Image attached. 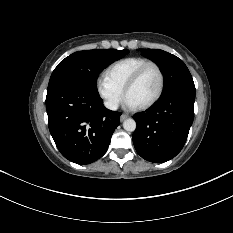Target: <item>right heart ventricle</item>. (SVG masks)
I'll return each instance as SVG.
<instances>
[{"instance_id":"obj_1","label":"right heart ventricle","mask_w":233,"mask_h":233,"mask_svg":"<svg viewBox=\"0 0 233 233\" xmlns=\"http://www.w3.org/2000/svg\"><path fill=\"white\" fill-rule=\"evenodd\" d=\"M148 61V59L139 56H132L118 60L107 68L105 77L115 86L124 90V87L132 74Z\"/></svg>"}]
</instances>
